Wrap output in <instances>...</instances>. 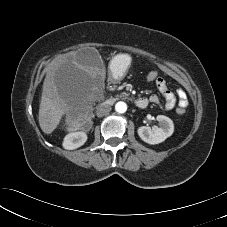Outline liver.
Masks as SVG:
<instances>
[{
	"label": "liver",
	"instance_id": "liver-1",
	"mask_svg": "<svg viewBox=\"0 0 227 227\" xmlns=\"http://www.w3.org/2000/svg\"><path fill=\"white\" fill-rule=\"evenodd\" d=\"M96 72L76 61V52L58 56L47 68L39 107L38 121L45 134L52 133L79 97L83 83Z\"/></svg>",
	"mask_w": 227,
	"mask_h": 227
}]
</instances>
